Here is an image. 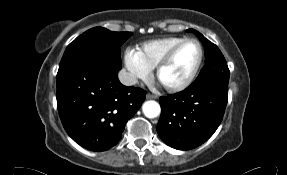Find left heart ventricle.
I'll list each match as a JSON object with an SVG mask.
<instances>
[{
	"instance_id": "1",
	"label": "left heart ventricle",
	"mask_w": 287,
	"mask_h": 175,
	"mask_svg": "<svg viewBox=\"0 0 287 175\" xmlns=\"http://www.w3.org/2000/svg\"><path fill=\"white\" fill-rule=\"evenodd\" d=\"M199 58V48L194 42L184 45L171 63L162 71L161 81L173 85L184 81L194 69Z\"/></svg>"
}]
</instances>
